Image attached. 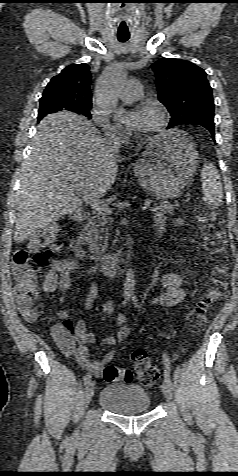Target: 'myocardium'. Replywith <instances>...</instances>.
<instances>
[{"mask_svg": "<svg viewBox=\"0 0 238 476\" xmlns=\"http://www.w3.org/2000/svg\"><path fill=\"white\" fill-rule=\"evenodd\" d=\"M143 105L146 107L152 108L157 113V116H158L156 125L148 132L149 137H151L159 133L165 127L167 123L168 115H167L166 109L159 103L145 102Z\"/></svg>", "mask_w": 238, "mask_h": 476, "instance_id": "f54148a6", "label": "myocardium"}]
</instances>
